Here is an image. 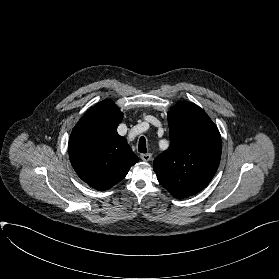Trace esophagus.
<instances>
[{
    "label": "esophagus",
    "mask_w": 279,
    "mask_h": 279,
    "mask_svg": "<svg viewBox=\"0 0 279 279\" xmlns=\"http://www.w3.org/2000/svg\"><path fill=\"white\" fill-rule=\"evenodd\" d=\"M140 158H141L143 161L147 162V161H150V160H151L152 154H151V153L141 154V155H140Z\"/></svg>",
    "instance_id": "34e87169"
}]
</instances>
